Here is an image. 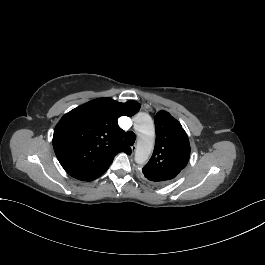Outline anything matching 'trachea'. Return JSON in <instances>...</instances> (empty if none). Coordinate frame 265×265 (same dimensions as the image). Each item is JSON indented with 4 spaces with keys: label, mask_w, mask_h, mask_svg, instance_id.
I'll return each mask as SVG.
<instances>
[{
    "label": "trachea",
    "mask_w": 265,
    "mask_h": 265,
    "mask_svg": "<svg viewBox=\"0 0 265 265\" xmlns=\"http://www.w3.org/2000/svg\"><path fill=\"white\" fill-rule=\"evenodd\" d=\"M135 133L134 132H132V131H128V132H126L125 133V135H124V140H125V142L128 144V145H130V146H132L134 143H135Z\"/></svg>",
    "instance_id": "3493384b"
}]
</instances>
